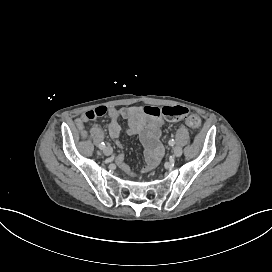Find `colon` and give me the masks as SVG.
<instances>
[{"instance_id":"1","label":"colon","mask_w":272,"mask_h":272,"mask_svg":"<svg viewBox=\"0 0 272 272\" xmlns=\"http://www.w3.org/2000/svg\"><path fill=\"white\" fill-rule=\"evenodd\" d=\"M107 112V107L103 105L91 108L83 115V119L78 121L77 124L82 129L85 121L103 117ZM187 113L188 109L183 105L155 106L149 107L148 111H146V115L149 117H166L168 119H181L184 118ZM198 124L199 120L197 118L188 120V126L192 128H197Z\"/></svg>"}]
</instances>
